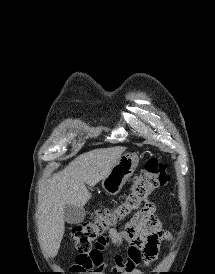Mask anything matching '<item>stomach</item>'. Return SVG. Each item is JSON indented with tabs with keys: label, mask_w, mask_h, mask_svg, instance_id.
<instances>
[{
	"label": "stomach",
	"mask_w": 215,
	"mask_h": 274,
	"mask_svg": "<svg viewBox=\"0 0 215 274\" xmlns=\"http://www.w3.org/2000/svg\"><path fill=\"white\" fill-rule=\"evenodd\" d=\"M138 163L139 159L136 154H123L102 180V187L106 193L110 195L119 193L126 181L133 175Z\"/></svg>",
	"instance_id": "1"
}]
</instances>
